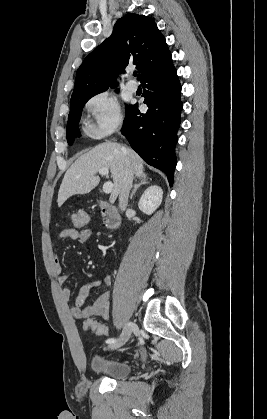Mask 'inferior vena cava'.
<instances>
[{"label":"inferior vena cava","instance_id":"inferior-vena-cava-1","mask_svg":"<svg viewBox=\"0 0 267 419\" xmlns=\"http://www.w3.org/2000/svg\"><path fill=\"white\" fill-rule=\"evenodd\" d=\"M125 164H126V170H125V174H124L122 184L120 187V192H119V208L121 211L125 210V208L127 207L129 192L132 187L133 175H134V172L131 166V161L128 156H126L125 158Z\"/></svg>","mask_w":267,"mask_h":419}]
</instances>
